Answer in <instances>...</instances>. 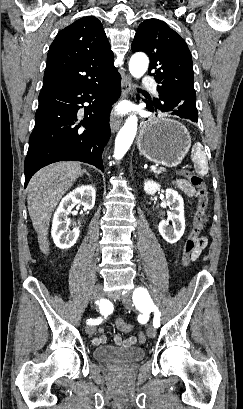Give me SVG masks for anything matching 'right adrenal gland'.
Returning a JSON list of instances; mask_svg holds the SVG:
<instances>
[{"label": "right adrenal gland", "instance_id": "1", "mask_svg": "<svg viewBox=\"0 0 243 409\" xmlns=\"http://www.w3.org/2000/svg\"><path fill=\"white\" fill-rule=\"evenodd\" d=\"M84 173L87 174L90 177V174L88 172H86V170H84Z\"/></svg>", "mask_w": 243, "mask_h": 409}]
</instances>
